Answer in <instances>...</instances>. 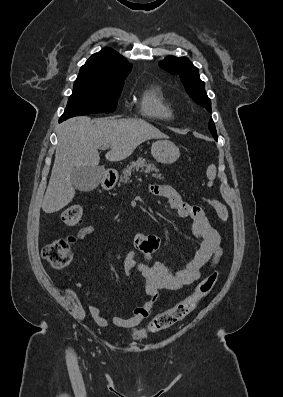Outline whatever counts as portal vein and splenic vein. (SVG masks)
Segmentation results:
<instances>
[{"instance_id":"obj_1","label":"portal vein and splenic vein","mask_w":283,"mask_h":397,"mask_svg":"<svg viewBox=\"0 0 283 397\" xmlns=\"http://www.w3.org/2000/svg\"><path fill=\"white\" fill-rule=\"evenodd\" d=\"M109 148V145H103V150H106Z\"/></svg>"}]
</instances>
